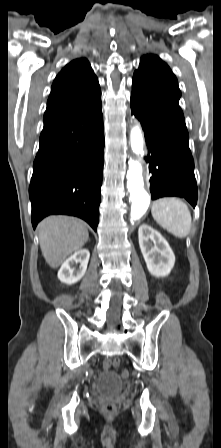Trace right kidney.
<instances>
[{"label": "right kidney", "mask_w": 221, "mask_h": 448, "mask_svg": "<svg viewBox=\"0 0 221 448\" xmlns=\"http://www.w3.org/2000/svg\"><path fill=\"white\" fill-rule=\"evenodd\" d=\"M90 253L88 249H81L70 256L61 266L58 271V278L61 282L66 284H73L78 282L87 270ZM80 264L76 268L75 264Z\"/></svg>", "instance_id": "obj_1"}]
</instances>
